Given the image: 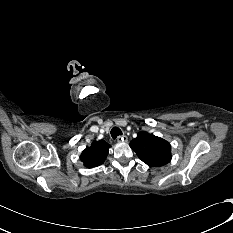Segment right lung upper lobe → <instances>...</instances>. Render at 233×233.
I'll list each match as a JSON object with an SVG mask.
<instances>
[{
	"label": "right lung upper lobe",
	"instance_id": "1",
	"mask_svg": "<svg viewBox=\"0 0 233 233\" xmlns=\"http://www.w3.org/2000/svg\"><path fill=\"white\" fill-rule=\"evenodd\" d=\"M109 147L110 145L104 140L94 141L80 156L84 166L93 168L101 165L107 157Z\"/></svg>",
	"mask_w": 233,
	"mask_h": 233
}]
</instances>
